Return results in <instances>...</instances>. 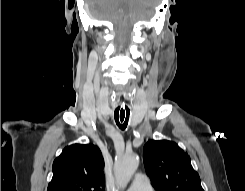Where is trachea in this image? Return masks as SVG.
I'll list each match as a JSON object with an SVG mask.
<instances>
[{
	"instance_id": "obj_1",
	"label": "trachea",
	"mask_w": 245,
	"mask_h": 191,
	"mask_svg": "<svg viewBox=\"0 0 245 191\" xmlns=\"http://www.w3.org/2000/svg\"><path fill=\"white\" fill-rule=\"evenodd\" d=\"M115 122L121 130H125L130 115V109L126 101H121L114 111Z\"/></svg>"
}]
</instances>
